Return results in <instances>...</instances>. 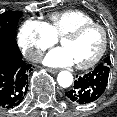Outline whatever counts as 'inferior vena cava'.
Segmentation results:
<instances>
[{
	"instance_id": "obj_1",
	"label": "inferior vena cava",
	"mask_w": 117,
	"mask_h": 117,
	"mask_svg": "<svg viewBox=\"0 0 117 117\" xmlns=\"http://www.w3.org/2000/svg\"><path fill=\"white\" fill-rule=\"evenodd\" d=\"M42 59V55L39 54V53H32L31 56H30V60L32 62H40Z\"/></svg>"
}]
</instances>
